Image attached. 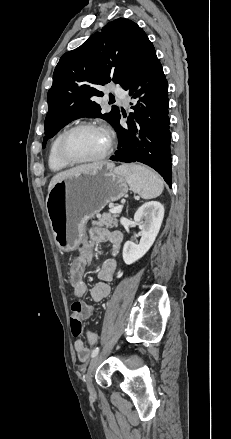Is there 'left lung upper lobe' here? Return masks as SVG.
I'll use <instances>...</instances> for the list:
<instances>
[{
	"mask_svg": "<svg viewBox=\"0 0 231 439\" xmlns=\"http://www.w3.org/2000/svg\"><path fill=\"white\" fill-rule=\"evenodd\" d=\"M151 46L136 23L118 18L80 47L65 53L55 68L53 85L47 95L49 110L44 123L43 148L60 129L81 117H100L115 128L119 111L112 109L102 114L93 97L103 96L99 85L111 81L124 88Z\"/></svg>",
	"mask_w": 231,
	"mask_h": 439,
	"instance_id": "obj_1",
	"label": "left lung upper lobe"
}]
</instances>
